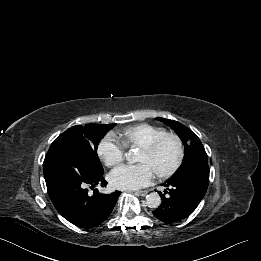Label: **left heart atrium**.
Segmentation results:
<instances>
[{"instance_id": "obj_1", "label": "left heart atrium", "mask_w": 261, "mask_h": 261, "mask_svg": "<svg viewBox=\"0 0 261 261\" xmlns=\"http://www.w3.org/2000/svg\"><path fill=\"white\" fill-rule=\"evenodd\" d=\"M155 174L148 165L139 163L117 168L111 173L109 180L114 188L135 190L150 185Z\"/></svg>"}]
</instances>
